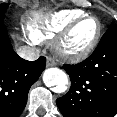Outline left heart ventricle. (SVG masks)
Returning a JSON list of instances; mask_svg holds the SVG:
<instances>
[{
	"label": "left heart ventricle",
	"instance_id": "left-heart-ventricle-1",
	"mask_svg": "<svg viewBox=\"0 0 117 117\" xmlns=\"http://www.w3.org/2000/svg\"><path fill=\"white\" fill-rule=\"evenodd\" d=\"M96 28L97 25L94 20H86L81 23L73 32L68 41L69 49L77 51L86 47L92 40L96 32Z\"/></svg>",
	"mask_w": 117,
	"mask_h": 117
}]
</instances>
